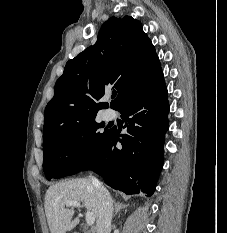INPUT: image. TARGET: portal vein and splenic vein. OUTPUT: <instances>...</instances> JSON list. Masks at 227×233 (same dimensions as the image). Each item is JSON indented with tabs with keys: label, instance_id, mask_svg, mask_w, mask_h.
I'll list each match as a JSON object with an SVG mask.
<instances>
[{
	"label": "portal vein and splenic vein",
	"instance_id": "obj_1",
	"mask_svg": "<svg viewBox=\"0 0 227 233\" xmlns=\"http://www.w3.org/2000/svg\"><path fill=\"white\" fill-rule=\"evenodd\" d=\"M65 205L67 207H77V208H81V204L77 201H68L65 203ZM86 223L87 225H92L95 222V217L91 212H86Z\"/></svg>",
	"mask_w": 227,
	"mask_h": 233
}]
</instances>
